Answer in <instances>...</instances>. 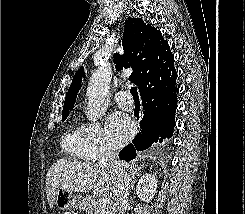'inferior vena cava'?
<instances>
[{"mask_svg": "<svg viewBox=\"0 0 245 214\" xmlns=\"http://www.w3.org/2000/svg\"><path fill=\"white\" fill-rule=\"evenodd\" d=\"M101 159L99 165L107 168L116 175V183L113 188V213L126 214L129 203L130 172L129 165L118 160L117 153L104 145L101 147Z\"/></svg>", "mask_w": 245, "mask_h": 214, "instance_id": "obj_1", "label": "inferior vena cava"}]
</instances>
